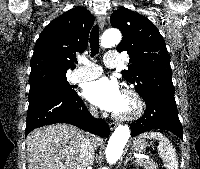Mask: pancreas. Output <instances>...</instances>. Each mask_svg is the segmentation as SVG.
<instances>
[{
    "mask_svg": "<svg viewBox=\"0 0 200 169\" xmlns=\"http://www.w3.org/2000/svg\"><path fill=\"white\" fill-rule=\"evenodd\" d=\"M136 162L145 169H157V164L154 161L137 160Z\"/></svg>",
    "mask_w": 200,
    "mask_h": 169,
    "instance_id": "1",
    "label": "pancreas"
}]
</instances>
